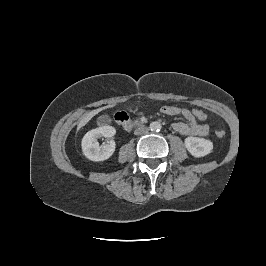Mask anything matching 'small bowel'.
I'll list each match as a JSON object with an SVG mask.
<instances>
[{"mask_svg":"<svg viewBox=\"0 0 266 266\" xmlns=\"http://www.w3.org/2000/svg\"><path fill=\"white\" fill-rule=\"evenodd\" d=\"M161 113L167 116L180 115L184 118L183 122L173 124V129L177 133L185 136H205L209 127L206 124L198 123L193 117L190 110L175 106H164L161 108Z\"/></svg>","mask_w":266,"mask_h":266,"instance_id":"small-bowel-1","label":"small bowel"}]
</instances>
